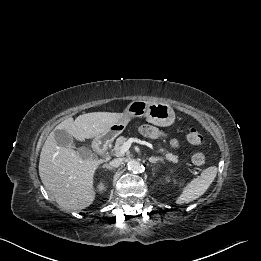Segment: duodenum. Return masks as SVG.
<instances>
[{
  "label": "duodenum",
  "mask_w": 261,
  "mask_h": 261,
  "mask_svg": "<svg viewBox=\"0 0 261 261\" xmlns=\"http://www.w3.org/2000/svg\"><path fill=\"white\" fill-rule=\"evenodd\" d=\"M107 142L104 140L96 141L93 145V150L96 154L104 156L107 152Z\"/></svg>",
  "instance_id": "410a0bca"
}]
</instances>
